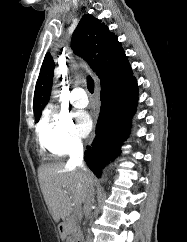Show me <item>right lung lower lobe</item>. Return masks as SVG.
Returning <instances> with one entry per match:
<instances>
[{
    "instance_id": "98d812e1",
    "label": "right lung lower lobe",
    "mask_w": 187,
    "mask_h": 242,
    "mask_svg": "<svg viewBox=\"0 0 187 242\" xmlns=\"http://www.w3.org/2000/svg\"><path fill=\"white\" fill-rule=\"evenodd\" d=\"M101 111L96 137L87 146L84 160L97 177L109 160L120 154V146L129 134L131 118L138 104V86L135 77H127L101 87Z\"/></svg>"
}]
</instances>
